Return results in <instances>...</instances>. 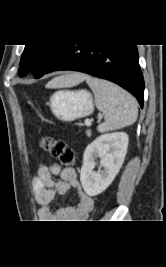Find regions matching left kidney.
I'll return each instance as SVG.
<instances>
[{"label": "left kidney", "mask_w": 166, "mask_h": 267, "mask_svg": "<svg viewBox=\"0 0 166 267\" xmlns=\"http://www.w3.org/2000/svg\"><path fill=\"white\" fill-rule=\"evenodd\" d=\"M128 135L124 132L104 134L90 143L83 155L80 181L89 196L102 193L119 172L128 147ZM100 158L103 170L95 173V159Z\"/></svg>", "instance_id": "obj_1"}]
</instances>
